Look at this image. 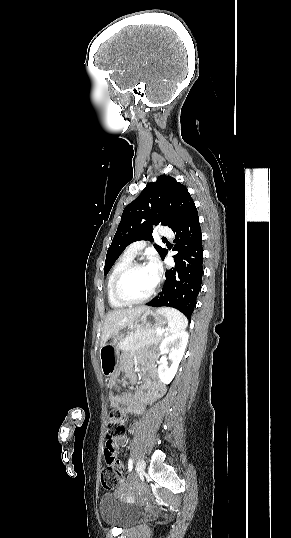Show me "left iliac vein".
Wrapping results in <instances>:
<instances>
[{
	"label": "left iliac vein",
	"instance_id": "1",
	"mask_svg": "<svg viewBox=\"0 0 291 538\" xmlns=\"http://www.w3.org/2000/svg\"><path fill=\"white\" fill-rule=\"evenodd\" d=\"M145 466H146V464H145L144 459H143V458H140V459L138 460L137 465H136V472H137V474H143V473H144V470H145Z\"/></svg>",
	"mask_w": 291,
	"mask_h": 538
}]
</instances>
